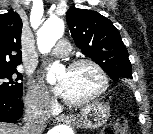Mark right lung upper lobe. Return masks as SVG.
<instances>
[{"label": "right lung upper lobe", "instance_id": "1", "mask_svg": "<svg viewBox=\"0 0 153 134\" xmlns=\"http://www.w3.org/2000/svg\"><path fill=\"white\" fill-rule=\"evenodd\" d=\"M21 32L22 20L16 12L0 15V67L21 63Z\"/></svg>", "mask_w": 153, "mask_h": 134}]
</instances>
